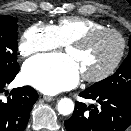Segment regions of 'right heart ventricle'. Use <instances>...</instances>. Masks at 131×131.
I'll return each mask as SVG.
<instances>
[{
	"instance_id": "1",
	"label": "right heart ventricle",
	"mask_w": 131,
	"mask_h": 131,
	"mask_svg": "<svg viewBox=\"0 0 131 131\" xmlns=\"http://www.w3.org/2000/svg\"><path fill=\"white\" fill-rule=\"evenodd\" d=\"M53 27L56 30L60 44L66 45L83 34L94 29L103 28L105 25L89 18L65 17L61 18Z\"/></svg>"
}]
</instances>
